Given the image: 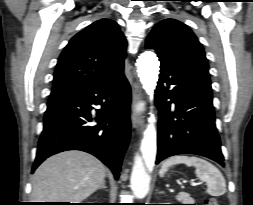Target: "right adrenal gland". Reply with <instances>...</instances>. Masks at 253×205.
Returning <instances> with one entry per match:
<instances>
[{"label": "right adrenal gland", "mask_w": 253, "mask_h": 205, "mask_svg": "<svg viewBox=\"0 0 253 205\" xmlns=\"http://www.w3.org/2000/svg\"><path fill=\"white\" fill-rule=\"evenodd\" d=\"M102 188H103V189H106V188H107L106 185H105V181H103L102 185H101L98 189L100 190V189H102Z\"/></svg>", "instance_id": "1"}]
</instances>
